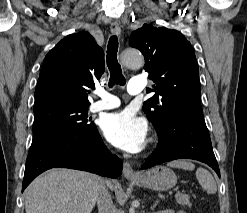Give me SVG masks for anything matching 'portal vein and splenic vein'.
<instances>
[{
	"label": "portal vein and splenic vein",
	"instance_id": "obj_1",
	"mask_svg": "<svg viewBox=\"0 0 247 213\" xmlns=\"http://www.w3.org/2000/svg\"><path fill=\"white\" fill-rule=\"evenodd\" d=\"M178 195H180V192L179 191L176 192L175 196H178Z\"/></svg>",
	"mask_w": 247,
	"mask_h": 213
}]
</instances>
